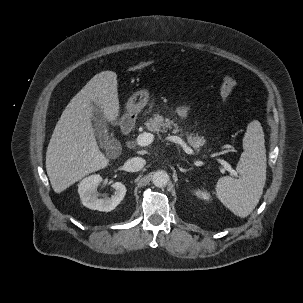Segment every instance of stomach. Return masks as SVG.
I'll list each match as a JSON object with an SVG mask.
<instances>
[{
    "instance_id": "0dacf381",
    "label": "stomach",
    "mask_w": 303,
    "mask_h": 303,
    "mask_svg": "<svg viewBox=\"0 0 303 303\" xmlns=\"http://www.w3.org/2000/svg\"><path fill=\"white\" fill-rule=\"evenodd\" d=\"M149 101V91L145 88L136 91L127 102V109L131 114L139 113Z\"/></svg>"
}]
</instances>
